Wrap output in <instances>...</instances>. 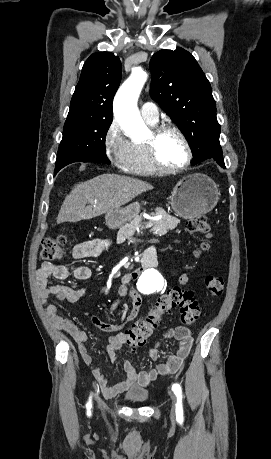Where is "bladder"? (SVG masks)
Masks as SVG:
<instances>
[{"mask_svg": "<svg viewBox=\"0 0 271 459\" xmlns=\"http://www.w3.org/2000/svg\"><path fill=\"white\" fill-rule=\"evenodd\" d=\"M126 397L133 403H144L148 399V393L145 390H132L126 393Z\"/></svg>", "mask_w": 271, "mask_h": 459, "instance_id": "bladder-1", "label": "bladder"}]
</instances>
